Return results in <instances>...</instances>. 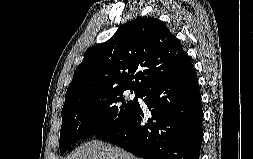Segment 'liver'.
<instances>
[{"label": "liver", "mask_w": 253, "mask_h": 159, "mask_svg": "<svg viewBox=\"0 0 253 159\" xmlns=\"http://www.w3.org/2000/svg\"><path fill=\"white\" fill-rule=\"evenodd\" d=\"M66 159H140L126 150L98 140L79 146Z\"/></svg>", "instance_id": "6515ba94"}]
</instances>
